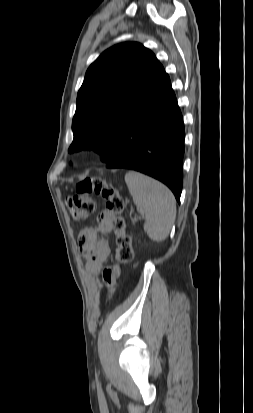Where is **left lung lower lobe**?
Instances as JSON below:
<instances>
[{
  "label": "left lung lower lobe",
  "mask_w": 253,
  "mask_h": 413,
  "mask_svg": "<svg viewBox=\"0 0 253 413\" xmlns=\"http://www.w3.org/2000/svg\"><path fill=\"white\" fill-rule=\"evenodd\" d=\"M184 137L183 117L166 74L141 111L124 124L118 155L106 167L154 177L166 184L179 202Z\"/></svg>",
  "instance_id": "left-lung-lower-lobe-1"
}]
</instances>
